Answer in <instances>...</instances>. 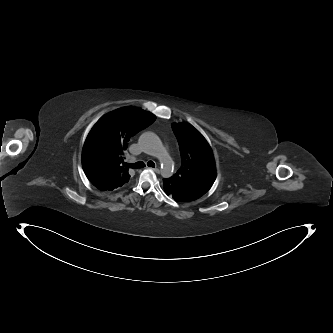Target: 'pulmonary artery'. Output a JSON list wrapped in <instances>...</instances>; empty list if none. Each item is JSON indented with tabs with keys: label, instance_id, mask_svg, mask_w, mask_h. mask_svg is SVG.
<instances>
[{
	"label": "pulmonary artery",
	"instance_id": "1",
	"mask_svg": "<svg viewBox=\"0 0 333 333\" xmlns=\"http://www.w3.org/2000/svg\"><path fill=\"white\" fill-rule=\"evenodd\" d=\"M163 152H166V148L163 149Z\"/></svg>",
	"mask_w": 333,
	"mask_h": 333
}]
</instances>
